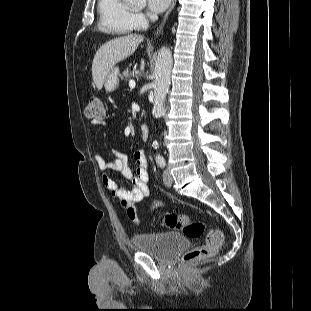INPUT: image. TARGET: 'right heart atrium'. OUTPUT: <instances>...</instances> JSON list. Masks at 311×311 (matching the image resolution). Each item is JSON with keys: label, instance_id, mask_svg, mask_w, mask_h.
<instances>
[{"label": "right heart atrium", "instance_id": "obj_1", "mask_svg": "<svg viewBox=\"0 0 311 311\" xmlns=\"http://www.w3.org/2000/svg\"><path fill=\"white\" fill-rule=\"evenodd\" d=\"M133 21L136 28H143L147 23V18L143 13L136 12L133 14Z\"/></svg>", "mask_w": 311, "mask_h": 311}]
</instances>
